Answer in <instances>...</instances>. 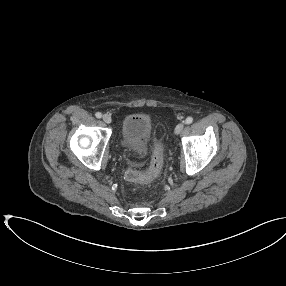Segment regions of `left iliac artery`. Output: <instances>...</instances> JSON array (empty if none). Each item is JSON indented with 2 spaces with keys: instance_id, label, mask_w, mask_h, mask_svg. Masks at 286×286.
<instances>
[{
  "instance_id": "1",
  "label": "left iliac artery",
  "mask_w": 286,
  "mask_h": 286,
  "mask_svg": "<svg viewBox=\"0 0 286 286\" xmlns=\"http://www.w3.org/2000/svg\"><path fill=\"white\" fill-rule=\"evenodd\" d=\"M193 122V118L192 117H187L185 120V124H191Z\"/></svg>"
}]
</instances>
